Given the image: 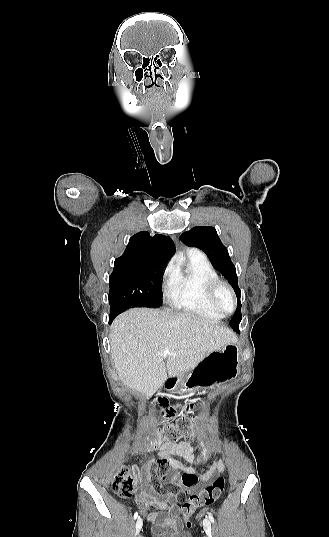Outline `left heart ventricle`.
I'll return each mask as SVG.
<instances>
[{"label": "left heart ventricle", "instance_id": "b2bd125f", "mask_svg": "<svg viewBox=\"0 0 329 537\" xmlns=\"http://www.w3.org/2000/svg\"><path fill=\"white\" fill-rule=\"evenodd\" d=\"M217 300L219 305L224 309L225 311H231L233 308V299L230 293L226 290H220L217 296Z\"/></svg>", "mask_w": 329, "mask_h": 537}]
</instances>
